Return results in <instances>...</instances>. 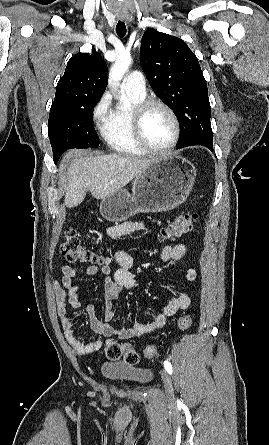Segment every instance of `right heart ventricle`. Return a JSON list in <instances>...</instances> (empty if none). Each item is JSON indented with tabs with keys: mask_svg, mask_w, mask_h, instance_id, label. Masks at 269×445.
<instances>
[{
	"mask_svg": "<svg viewBox=\"0 0 269 445\" xmlns=\"http://www.w3.org/2000/svg\"><path fill=\"white\" fill-rule=\"evenodd\" d=\"M145 96L123 90V101L109 111L101 123V134L108 146L117 153L141 157L146 152L137 144L132 128V113Z\"/></svg>",
	"mask_w": 269,
	"mask_h": 445,
	"instance_id": "1",
	"label": "right heart ventricle"
}]
</instances>
